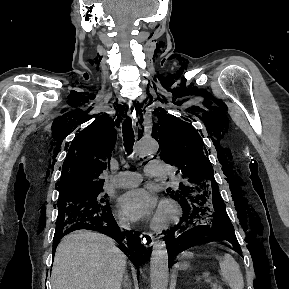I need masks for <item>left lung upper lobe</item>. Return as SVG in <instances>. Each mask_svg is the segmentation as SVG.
I'll return each instance as SVG.
<instances>
[{
  "instance_id": "5c2ea615",
  "label": "left lung upper lobe",
  "mask_w": 289,
  "mask_h": 289,
  "mask_svg": "<svg viewBox=\"0 0 289 289\" xmlns=\"http://www.w3.org/2000/svg\"><path fill=\"white\" fill-rule=\"evenodd\" d=\"M157 111L159 123L153 127L152 137L160 145V157L178 167L181 179L178 190L171 192L168 189L170 196L179 202H187L195 196L208 201L220 198L213 168L199 133L190 123L166 114L163 109Z\"/></svg>"
}]
</instances>
